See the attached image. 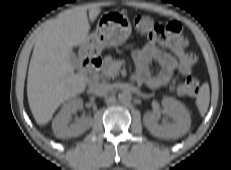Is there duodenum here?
Returning <instances> with one entry per match:
<instances>
[{
	"label": "duodenum",
	"instance_id": "1",
	"mask_svg": "<svg viewBox=\"0 0 231 170\" xmlns=\"http://www.w3.org/2000/svg\"><path fill=\"white\" fill-rule=\"evenodd\" d=\"M102 58L95 55H86L82 60V68L84 71V77L87 80L90 87H93L96 83L97 72L101 68Z\"/></svg>",
	"mask_w": 231,
	"mask_h": 170
}]
</instances>
